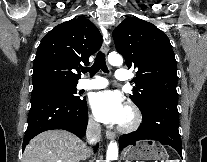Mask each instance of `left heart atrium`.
<instances>
[{"label":"left heart atrium","mask_w":207,"mask_h":162,"mask_svg":"<svg viewBox=\"0 0 207 162\" xmlns=\"http://www.w3.org/2000/svg\"><path fill=\"white\" fill-rule=\"evenodd\" d=\"M90 107L95 118L104 123H120L126 110L123 97L111 90L94 93L90 99Z\"/></svg>","instance_id":"1"}]
</instances>
